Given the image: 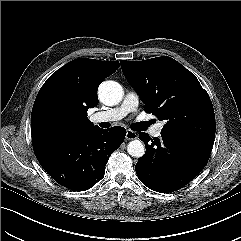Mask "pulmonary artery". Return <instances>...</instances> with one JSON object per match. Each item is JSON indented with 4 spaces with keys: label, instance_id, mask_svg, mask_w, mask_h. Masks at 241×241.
I'll return each mask as SVG.
<instances>
[{
    "label": "pulmonary artery",
    "instance_id": "obj_1",
    "mask_svg": "<svg viewBox=\"0 0 241 241\" xmlns=\"http://www.w3.org/2000/svg\"><path fill=\"white\" fill-rule=\"evenodd\" d=\"M138 105V95L134 92H128L119 106L108 109L106 111L97 112L92 115L91 119L93 122L117 121L129 113L136 111ZM162 127L163 125L160 123L154 125L151 129V135L154 137H159L161 135Z\"/></svg>",
    "mask_w": 241,
    "mask_h": 241
}]
</instances>
